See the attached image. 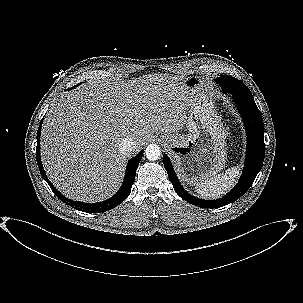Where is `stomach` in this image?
<instances>
[{
  "label": "stomach",
  "mask_w": 303,
  "mask_h": 303,
  "mask_svg": "<svg viewBox=\"0 0 303 303\" xmlns=\"http://www.w3.org/2000/svg\"><path fill=\"white\" fill-rule=\"evenodd\" d=\"M184 83L198 95L188 109V134L162 132L168 151L180 178L188 184H198L216 175L227 159L226 134L212 99L202 90L197 76Z\"/></svg>",
  "instance_id": "obj_1"
}]
</instances>
